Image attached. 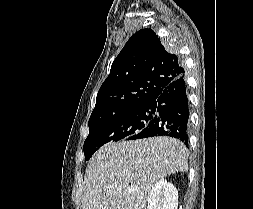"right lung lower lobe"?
I'll return each instance as SVG.
<instances>
[{
    "label": "right lung lower lobe",
    "instance_id": "obj_1",
    "mask_svg": "<svg viewBox=\"0 0 253 209\" xmlns=\"http://www.w3.org/2000/svg\"><path fill=\"white\" fill-rule=\"evenodd\" d=\"M149 105L154 111V117L129 140L169 136L188 146L189 104L184 73L168 84Z\"/></svg>",
    "mask_w": 253,
    "mask_h": 209
}]
</instances>
